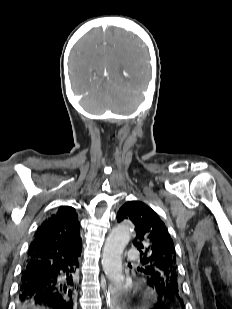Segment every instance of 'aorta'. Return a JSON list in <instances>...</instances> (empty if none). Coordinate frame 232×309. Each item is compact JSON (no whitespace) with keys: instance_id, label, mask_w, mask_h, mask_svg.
<instances>
[{"instance_id":"762f6f07","label":"aorta","mask_w":232,"mask_h":309,"mask_svg":"<svg viewBox=\"0 0 232 309\" xmlns=\"http://www.w3.org/2000/svg\"><path fill=\"white\" fill-rule=\"evenodd\" d=\"M132 227L121 224L108 235L103 248L102 267L106 276L117 285L124 282L122 254L130 241Z\"/></svg>"}]
</instances>
